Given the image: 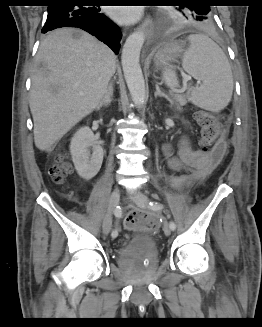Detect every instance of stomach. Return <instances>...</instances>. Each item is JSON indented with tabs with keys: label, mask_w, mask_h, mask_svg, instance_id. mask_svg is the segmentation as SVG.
<instances>
[{
	"label": "stomach",
	"mask_w": 262,
	"mask_h": 327,
	"mask_svg": "<svg viewBox=\"0 0 262 327\" xmlns=\"http://www.w3.org/2000/svg\"><path fill=\"white\" fill-rule=\"evenodd\" d=\"M182 52L180 43L173 41V45H164L156 56L157 65H166L169 61L175 60Z\"/></svg>",
	"instance_id": "0dacf381"
}]
</instances>
